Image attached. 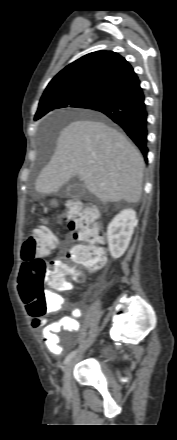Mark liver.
<instances>
[{
    "mask_svg": "<svg viewBox=\"0 0 177 440\" xmlns=\"http://www.w3.org/2000/svg\"><path fill=\"white\" fill-rule=\"evenodd\" d=\"M143 170L141 154L122 133L101 121L82 119L60 132L35 189L41 194L57 193L78 176L102 202L136 203L142 193Z\"/></svg>",
    "mask_w": 177,
    "mask_h": 440,
    "instance_id": "obj_1",
    "label": "liver"
}]
</instances>
